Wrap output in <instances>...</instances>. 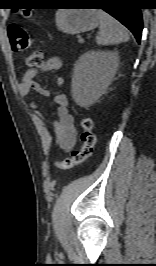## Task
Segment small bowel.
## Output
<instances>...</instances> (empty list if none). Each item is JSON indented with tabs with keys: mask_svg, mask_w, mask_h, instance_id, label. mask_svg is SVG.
Instances as JSON below:
<instances>
[{
	"mask_svg": "<svg viewBox=\"0 0 156 266\" xmlns=\"http://www.w3.org/2000/svg\"><path fill=\"white\" fill-rule=\"evenodd\" d=\"M61 67V59L58 57H51L38 67L26 70L19 85L20 93L26 96L31 92H36L42 96H49L50 92L36 82L35 77L39 71H58ZM64 83L65 81L63 77H56L55 84L58 88L63 87ZM54 101L57 106L56 117L53 119L54 141L61 149L69 152L76 146L77 130L74 126L73 116L70 113L68 98L65 94L60 93L54 97ZM31 107L33 112L38 117L42 118L41 112L39 111V105L36 102H33Z\"/></svg>",
	"mask_w": 156,
	"mask_h": 266,
	"instance_id": "1",
	"label": "small bowel"
}]
</instances>
